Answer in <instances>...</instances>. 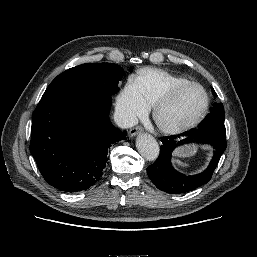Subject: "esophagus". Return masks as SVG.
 <instances>
[{"label":"esophagus","instance_id":"obj_1","mask_svg":"<svg viewBox=\"0 0 257 257\" xmlns=\"http://www.w3.org/2000/svg\"><path fill=\"white\" fill-rule=\"evenodd\" d=\"M143 131L142 127L137 126V127H133L132 129H130L129 131V136L130 137H134L137 134L141 133Z\"/></svg>","mask_w":257,"mask_h":257}]
</instances>
